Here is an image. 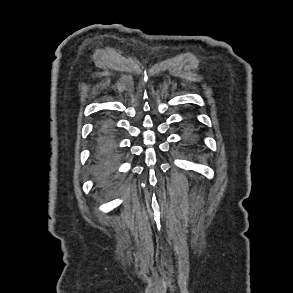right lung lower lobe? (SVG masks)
I'll return each mask as SVG.
<instances>
[{"mask_svg":"<svg viewBox=\"0 0 293 293\" xmlns=\"http://www.w3.org/2000/svg\"><path fill=\"white\" fill-rule=\"evenodd\" d=\"M115 126L111 119H103L97 128V144L104 152H110L115 148Z\"/></svg>","mask_w":293,"mask_h":293,"instance_id":"right-lung-lower-lobe-1","label":"right lung lower lobe"}]
</instances>
